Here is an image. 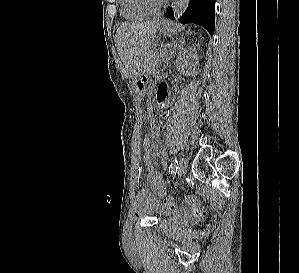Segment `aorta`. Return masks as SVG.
<instances>
[{"label":"aorta","mask_w":299,"mask_h":273,"mask_svg":"<svg viewBox=\"0 0 299 273\" xmlns=\"http://www.w3.org/2000/svg\"><path fill=\"white\" fill-rule=\"evenodd\" d=\"M190 0H175L173 3L174 16L178 19L187 9Z\"/></svg>","instance_id":"1"}]
</instances>
